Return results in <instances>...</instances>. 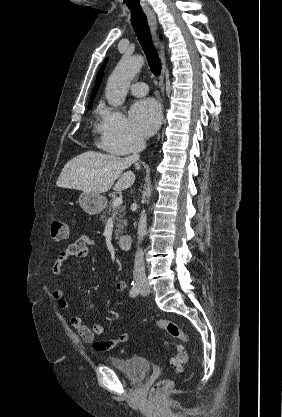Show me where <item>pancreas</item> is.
I'll return each mask as SVG.
<instances>
[{"label": "pancreas", "mask_w": 282, "mask_h": 417, "mask_svg": "<svg viewBox=\"0 0 282 417\" xmlns=\"http://www.w3.org/2000/svg\"><path fill=\"white\" fill-rule=\"evenodd\" d=\"M115 215L114 219V225L116 227L114 233H115V239H119L120 235H122L124 229V225H126L127 221L124 219L125 213V206H113V200H110L109 204H107V209L104 211L103 215L100 217V221H103V223H106L108 215Z\"/></svg>", "instance_id": "1"}]
</instances>
